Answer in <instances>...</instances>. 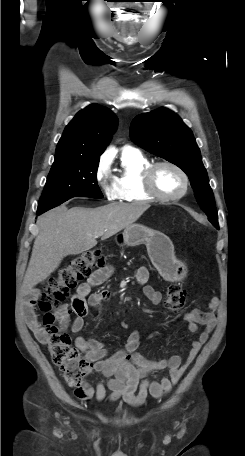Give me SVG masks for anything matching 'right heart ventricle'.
<instances>
[{"label": "right heart ventricle", "instance_id": "right-heart-ventricle-1", "mask_svg": "<svg viewBox=\"0 0 245 456\" xmlns=\"http://www.w3.org/2000/svg\"><path fill=\"white\" fill-rule=\"evenodd\" d=\"M150 160L135 149H124L121 154V171L115 177L118 199L124 202L153 200L143 188L142 173Z\"/></svg>", "mask_w": 245, "mask_h": 456}]
</instances>
